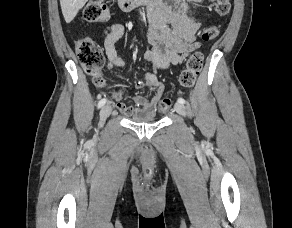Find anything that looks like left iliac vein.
Here are the masks:
<instances>
[{"instance_id": "left-iliac-vein-1", "label": "left iliac vein", "mask_w": 292, "mask_h": 228, "mask_svg": "<svg viewBox=\"0 0 292 228\" xmlns=\"http://www.w3.org/2000/svg\"><path fill=\"white\" fill-rule=\"evenodd\" d=\"M174 109L178 114L186 116V108L184 104L177 102L175 103Z\"/></svg>"}]
</instances>
